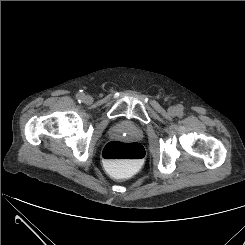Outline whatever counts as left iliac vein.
I'll return each mask as SVG.
<instances>
[{"label": "left iliac vein", "instance_id": "left-iliac-vein-1", "mask_svg": "<svg viewBox=\"0 0 245 245\" xmlns=\"http://www.w3.org/2000/svg\"><path fill=\"white\" fill-rule=\"evenodd\" d=\"M168 112L170 115H176L178 113V110L175 106H171L169 107Z\"/></svg>", "mask_w": 245, "mask_h": 245}]
</instances>
